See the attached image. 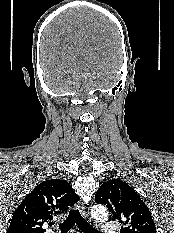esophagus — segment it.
I'll list each match as a JSON object with an SVG mask.
<instances>
[{
    "mask_svg": "<svg viewBox=\"0 0 174 233\" xmlns=\"http://www.w3.org/2000/svg\"><path fill=\"white\" fill-rule=\"evenodd\" d=\"M78 208H79L81 214H82L86 219L90 220L89 215H88L87 212H86L85 203L82 202V201H80V202H79Z\"/></svg>",
    "mask_w": 174,
    "mask_h": 233,
    "instance_id": "esophagus-1",
    "label": "esophagus"
}]
</instances>
